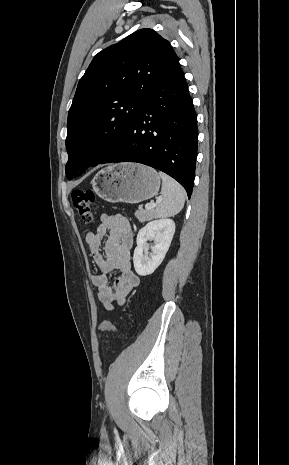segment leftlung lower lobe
<instances>
[{
	"label": "left lung lower lobe",
	"mask_w": 289,
	"mask_h": 465,
	"mask_svg": "<svg viewBox=\"0 0 289 465\" xmlns=\"http://www.w3.org/2000/svg\"><path fill=\"white\" fill-rule=\"evenodd\" d=\"M197 118L179 67L144 97L117 146L98 164L137 162L177 180L190 198L196 166Z\"/></svg>",
	"instance_id": "1"
}]
</instances>
